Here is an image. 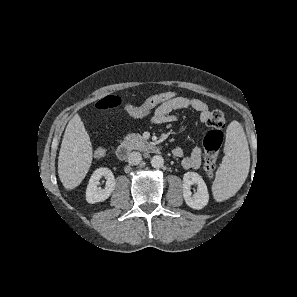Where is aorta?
Listing matches in <instances>:
<instances>
[{
	"mask_svg": "<svg viewBox=\"0 0 297 297\" xmlns=\"http://www.w3.org/2000/svg\"><path fill=\"white\" fill-rule=\"evenodd\" d=\"M151 165L154 168H161L164 165L163 157L160 155H155L151 158Z\"/></svg>",
	"mask_w": 297,
	"mask_h": 297,
	"instance_id": "1",
	"label": "aorta"
}]
</instances>
